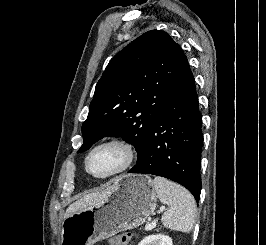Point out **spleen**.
Instances as JSON below:
<instances>
[{"mask_svg":"<svg viewBox=\"0 0 266 245\" xmlns=\"http://www.w3.org/2000/svg\"><path fill=\"white\" fill-rule=\"evenodd\" d=\"M153 183L160 203L169 207L161 217L162 225L172 231L189 233L195 219L194 197L184 187H180L177 183H171L163 177H155Z\"/></svg>","mask_w":266,"mask_h":245,"instance_id":"3e777b00","label":"spleen"}]
</instances>
